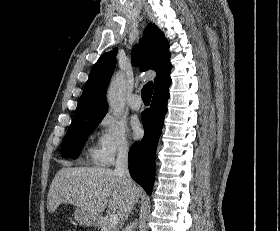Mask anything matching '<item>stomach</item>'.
<instances>
[{
  "instance_id": "obj_1",
  "label": "stomach",
  "mask_w": 280,
  "mask_h": 231,
  "mask_svg": "<svg viewBox=\"0 0 280 231\" xmlns=\"http://www.w3.org/2000/svg\"><path fill=\"white\" fill-rule=\"evenodd\" d=\"M74 219L77 223H80V225H99V219H93L87 209H82V207H76Z\"/></svg>"
}]
</instances>
